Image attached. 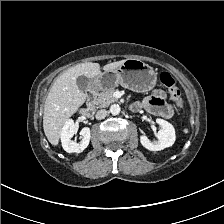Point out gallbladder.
I'll list each match as a JSON object with an SVG mask.
<instances>
[{"label": "gallbladder", "mask_w": 224, "mask_h": 224, "mask_svg": "<svg viewBox=\"0 0 224 224\" xmlns=\"http://www.w3.org/2000/svg\"><path fill=\"white\" fill-rule=\"evenodd\" d=\"M89 83L90 79L84 75L78 76L76 78V84L78 88L83 92H85L88 89Z\"/></svg>", "instance_id": "bac80fb5"}]
</instances>
